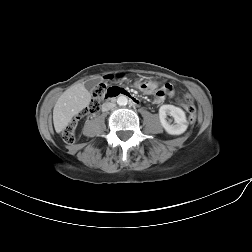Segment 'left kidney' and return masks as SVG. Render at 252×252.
Masks as SVG:
<instances>
[{"label":"left kidney","instance_id":"left-kidney-1","mask_svg":"<svg viewBox=\"0 0 252 252\" xmlns=\"http://www.w3.org/2000/svg\"><path fill=\"white\" fill-rule=\"evenodd\" d=\"M167 115L174 118L175 124H170L167 121ZM159 118L165 131L171 135H180L184 133L188 127L185 112L174 105H162L159 109Z\"/></svg>","mask_w":252,"mask_h":252}]
</instances>
